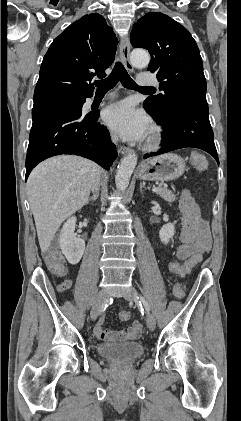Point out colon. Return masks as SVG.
Listing matches in <instances>:
<instances>
[{"label": "colon", "mask_w": 241, "mask_h": 421, "mask_svg": "<svg viewBox=\"0 0 241 421\" xmlns=\"http://www.w3.org/2000/svg\"><path fill=\"white\" fill-rule=\"evenodd\" d=\"M53 2V0H49ZM192 165L199 171H204L208 167V160L205 155L199 152H194L191 155ZM44 259L48 269L54 275L61 276L65 273V265L62 258V255L56 248H49L44 252ZM202 261V255L196 254L189 257L182 262H170L167 265L168 271L177 276H185L191 272L193 268L199 265ZM174 294L178 298H182L185 295V288L181 284H176L174 286ZM130 312L128 310H121L119 312V318L123 321L130 319Z\"/></svg>", "instance_id": "5ec220e1"}]
</instances>
